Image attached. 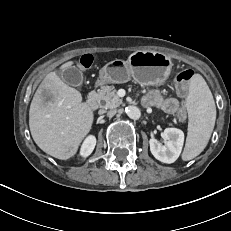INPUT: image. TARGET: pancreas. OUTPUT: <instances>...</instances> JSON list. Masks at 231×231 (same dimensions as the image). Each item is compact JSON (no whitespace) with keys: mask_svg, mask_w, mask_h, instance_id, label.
<instances>
[{"mask_svg":"<svg viewBox=\"0 0 231 231\" xmlns=\"http://www.w3.org/2000/svg\"><path fill=\"white\" fill-rule=\"evenodd\" d=\"M96 99L101 108H116L122 104V99L117 95L116 88L111 86H103L96 93Z\"/></svg>","mask_w":231,"mask_h":231,"instance_id":"pancreas-1","label":"pancreas"}]
</instances>
